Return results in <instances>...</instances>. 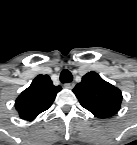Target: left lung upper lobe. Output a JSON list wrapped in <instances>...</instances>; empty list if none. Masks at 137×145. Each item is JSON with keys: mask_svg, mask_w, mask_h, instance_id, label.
Returning a JSON list of instances; mask_svg holds the SVG:
<instances>
[{"mask_svg": "<svg viewBox=\"0 0 137 145\" xmlns=\"http://www.w3.org/2000/svg\"><path fill=\"white\" fill-rule=\"evenodd\" d=\"M82 107L98 118L116 114L122 102L121 91L91 71L73 89Z\"/></svg>", "mask_w": 137, "mask_h": 145, "instance_id": "obj_1", "label": "left lung upper lobe"}]
</instances>
